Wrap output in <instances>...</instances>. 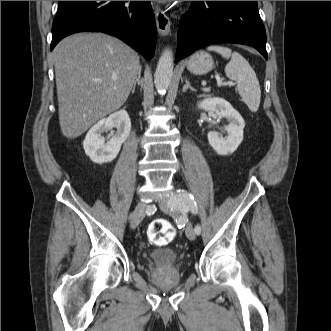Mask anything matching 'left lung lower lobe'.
<instances>
[{
    "mask_svg": "<svg viewBox=\"0 0 331 331\" xmlns=\"http://www.w3.org/2000/svg\"><path fill=\"white\" fill-rule=\"evenodd\" d=\"M215 43L249 45L267 59L257 1H193L179 23L176 58Z\"/></svg>",
    "mask_w": 331,
    "mask_h": 331,
    "instance_id": "left-lung-lower-lobe-1",
    "label": "left lung lower lobe"
}]
</instances>
